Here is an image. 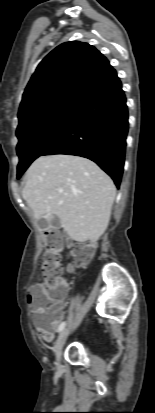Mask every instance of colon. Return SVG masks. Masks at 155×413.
<instances>
[{
    "instance_id": "1",
    "label": "colon",
    "mask_w": 155,
    "mask_h": 413,
    "mask_svg": "<svg viewBox=\"0 0 155 413\" xmlns=\"http://www.w3.org/2000/svg\"><path fill=\"white\" fill-rule=\"evenodd\" d=\"M64 244L63 236L57 231L49 229L46 232L45 245L47 251L43 256L41 272L47 290L45 293H38L34 302V309L40 314L42 323L46 322L47 313L55 310V305L60 302L67 290L60 264ZM72 250L76 258V265L79 267L86 266L93 254V247L85 243L73 246Z\"/></svg>"
}]
</instances>
